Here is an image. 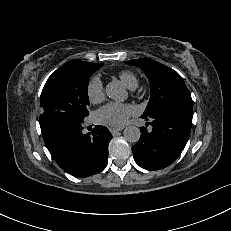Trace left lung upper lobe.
Listing matches in <instances>:
<instances>
[{
    "label": "left lung upper lobe",
    "mask_w": 231,
    "mask_h": 231,
    "mask_svg": "<svg viewBox=\"0 0 231 231\" xmlns=\"http://www.w3.org/2000/svg\"><path fill=\"white\" fill-rule=\"evenodd\" d=\"M125 63L140 67L149 79L151 97L142 116H149L170 105L192 107L190 91L183 78L175 70L149 58Z\"/></svg>",
    "instance_id": "left-lung-upper-lobe-1"
}]
</instances>
